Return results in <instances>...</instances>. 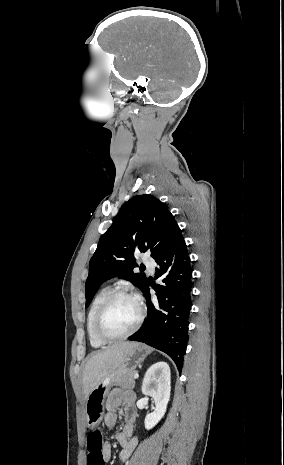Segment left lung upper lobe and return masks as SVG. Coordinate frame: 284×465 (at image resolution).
<instances>
[{
	"label": "left lung upper lobe",
	"mask_w": 284,
	"mask_h": 465,
	"mask_svg": "<svg viewBox=\"0 0 284 465\" xmlns=\"http://www.w3.org/2000/svg\"><path fill=\"white\" fill-rule=\"evenodd\" d=\"M179 228L165 203L152 195H138L127 201L112 226L101 237L89 263L86 280V307L100 285L115 276L142 289L147 278L134 273L136 251L149 250L155 259L170 244Z\"/></svg>",
	"instance_id": "5c2ea615"
}]
</instances>
